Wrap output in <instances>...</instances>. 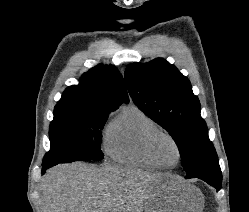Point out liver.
<instances>
[{
    "label": "liver",
    "mask_w": 249,
    "mask_h": 212,
    "mask_svg": "<svg viewBox=\"0 0 249 212\" xmlns=\"http://www.w3.org/2000/svg\"><path fill=\"white\" fill-rule=\"evenodd\" d=\"M171 174L85 162L59 164L41 182L44 212H143L148 188Z\"/></svg>",
    "instance_id": "6515ba94"
}]
</instances>
